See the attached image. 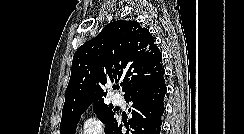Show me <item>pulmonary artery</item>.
Here are the masks:
<instances>
[{"mask_svg":"<svg viewBox=\"0 0 244 134\" xmlns=\"http://www.w3.org/2000/svg\"><path fill=\"white\" fill-rule=\"evenodd\" d=\"M113 101L115 104H121L122 103V99L119 96H114Z\"/></svg>","mask_w":244,"mask_h":134,"instance_id":"1","label":"pulmonary artery"}]
</instances>
